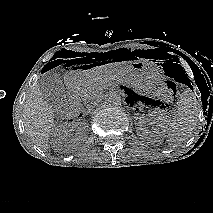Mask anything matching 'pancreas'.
<instances>
[{"label": "pancreas", "instance_id": "cf45deb5", "mask_svg": "<svg viewBox=\"0 0 213 213\" xmlns=\"http://www.w3.org/2000/svg\"><path fill=\"white\" fill-rule=\"evenodd\" d=\"M102 81V79H100ZM80 95L83 100H91L96 96L94 84L90 83L80 91Z\"/></svg>", "mask_w": 213, "mask_h": 213}]
</instances>
